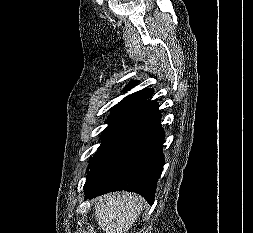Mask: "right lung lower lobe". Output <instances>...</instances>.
Listing matches in <instances>:
<instances>
[{"label": "right lung lower lobe", "mask_w": 253, "mask_h": 233, "mask_svg": "<svg viewBox=\"0 0 253 233\" xmlns=\"http://www.w3.org/2000/svg\"><path fill=\"white\" fill-rule=\"evenodd\" d=\"M160 119L156 101L148 98L134 107L90 159L85 199L125 190L153 204L164 165Z\"/></svg>", "instance_id": "1"}]
</instances>
